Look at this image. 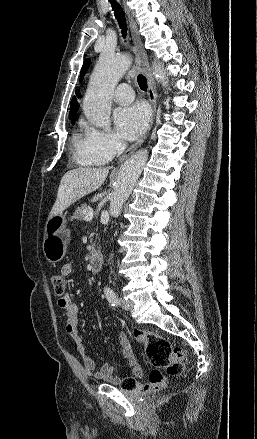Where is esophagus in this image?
Wrapping results in <instances>:
<instances>
[{
    "label": "esophagus",
    "instance_id": "1",
    "mask_svg": "<svg viewBox=\"0 0 257 439\" xmlns=\"http://www.w3.org/2000/svg\"><path fill=\"white\" fill-rule=\"evenodd\" d=\"M125 10H126L128 17H129L130 29H131V33H132L133 42H134V49H135L138 61L141 63L143 71H144L146 78H147L148 99H149V102H150L151 107H152V116H151L150 125H149L146 133L139 140H137L132 146H130L127 149V151L120 158L121 162L126 160L145 141V139H146V137L151 129V126L153 124L154 118H155L156 102H157V93H156V87L154 84V79H153L152 74H151L148 58H147L146 52L144 50L142 41L137 33L136 21L134 20L132 14L130 13V11L126 5H125Z\"/></svg>",
    "mask_w": 257,
    "mask_h": 439
}]
</instances>
